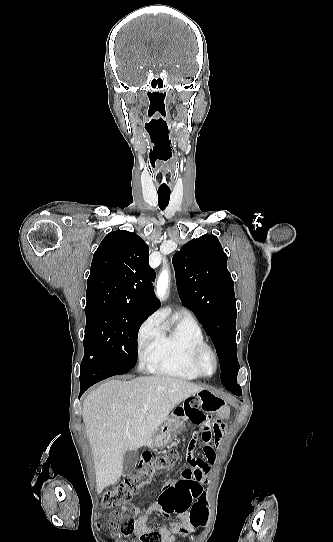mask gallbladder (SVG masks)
Masks as SVG:
<instances>
[{
  "label": "gallbladder",
  "mask_w": 333,
  "mask_h": 542,
  "mask_svg": "<svg viewBox=\"0 0 333 542\" xmlns=\"http://www.w3.org/2000/svg\"><path fill=\"white\" fill-rule=\"evenodd\" d=\"M138 452L137 450H132V452H126L123 458V476H130L133 470L136 468L138 462Z\"/></svg>",
  "instance_id": "bac80fb5"
}]
</instances>
